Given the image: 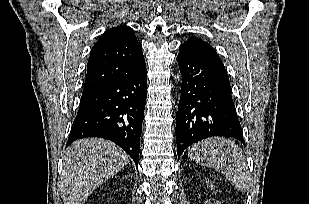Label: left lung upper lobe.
I'll use <instances>...</instances> for the list:
<instances>
[{
  "label": "left lung upper lobe",
  "instance_id": "left-lung-upper-lobe-1",
  "mask_svg": "<svg viewBox=\"0 0 309 204\" xmlns=\"http://www.w3.org/2000/svg\"><path fill=\"white\" fill-rule=\"evenodd\" d=\"M181 47H185L201 58L225 68L216 51L207 42L198 37L188 38Z\"/></svg>",
  "mask_w": 309,
  "mask_h": 204
}]
</instances>
